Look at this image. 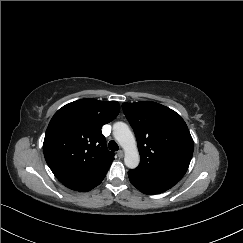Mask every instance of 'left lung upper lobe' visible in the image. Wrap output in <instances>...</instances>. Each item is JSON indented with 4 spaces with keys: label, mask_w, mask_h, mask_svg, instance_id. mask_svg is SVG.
<instances>
[{
    "label": "left lung upper lobe",
    "mask_w": 243,
    "mask_h": 243,
    "mask_svg": "<svg viewBox=\"0 0 243 243\" xmlns=\"http://www.w3.org/2000/svg\"><path fill=\"white\" fill-rule=\"evenodd\" d=\"M122 108L135 132L141 157L139 166L130 170L132 173L187 171L194 143L178 113L152 101L123 103Z\"/></svg>",
    "instance_id": "left-lung-upper-lobe-1"
}]
</instances>
